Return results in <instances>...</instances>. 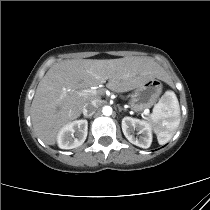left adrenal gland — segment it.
Segmentation results:
<instances>
[{"label":"left adrenal gland","instance_id":"a2214340","mask_svg":"<svg viewBox=\"0 0 210 210\" xmlns=\"http://www.w3.org/2000/svg\"><path fill=\"white\" fill-rule=\"evenodd\" d=\"M118 109H119L120 112H121L122 110H124V109H123L122 107H120V106L118 107Z\"/></svg>","mask_w":210,"mask_h":210}]
</instances>
